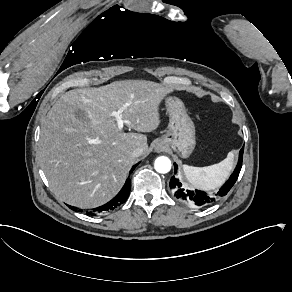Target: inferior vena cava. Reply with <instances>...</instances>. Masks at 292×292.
I'll return each mask as SVG.
<instances>
[{"label": "inferior vena cava", "instance_id": "1", "mask_svg": "<svg viewBox=\"0 0 292 292\" xmlns=\"http://www.w3.org/2000/svg\"><path fill=\"white\" fill-rule=\"evenodd\" d=\"M142 152H143V149L142 148H136L134 149L133 153H132V156L135 158V157H139L142 155Z\"/></svg>", "mask_w": 292, "mask_h": 292}]
</instances>
